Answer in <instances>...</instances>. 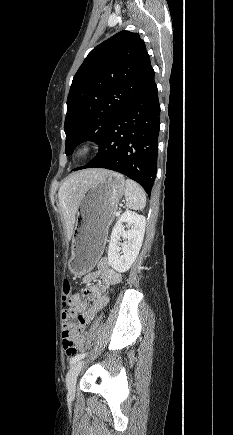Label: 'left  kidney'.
<instances>
[{"instance_id": "1", "label": "left kidney", "mask_w": 233, "mask_h": 435, "mask_svg": "<svg viewBox=\"0 0 233 435\" xmlns=\"http://www.w3.org/2000/svg\"><path fill=\"white\" fill-rule=\"evenodd\" d=\"M124 223L131 229L126 231ZM145 225V217L136 212L127 210L120 216L108 247V262L114 270L123 273L130 269L142 246ZM121 237L126 240L123 244L119 242Z\"/></svg>"}]
</instances>
